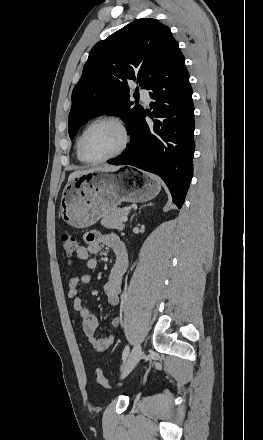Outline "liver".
I'll use <instances>...</instances> for the list:
<instances>
[{"label":"liver","instance_id":"obj_1","mask_svg":"<svg viewBox=\"0 0 263 440\" xmlns=\"http://www.w3.org/2000/svg\"><path fill=\"white\" fill-rule=\"evenodd\" d=\"M119 167L117 166H112V165H103L100 167H94V168H90V169H86V170H80V171H74L69 175L68 180L74 178V177H78L90 172H95V171H104V172H114L116 170H118Z\"/></svg>","mask_w":263,"mask_h":440}]
</instances>
